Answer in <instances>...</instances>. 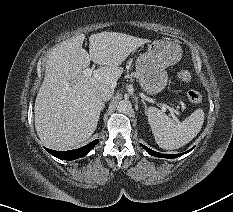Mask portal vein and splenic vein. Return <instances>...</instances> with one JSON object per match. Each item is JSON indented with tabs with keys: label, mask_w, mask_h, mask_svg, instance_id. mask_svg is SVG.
<instances>
[{
	"label": "portal vein and splenic vein",
	"mask_w": 233,
	"mask_h": 212,
	"mask_svg": "<svg viewBox=\"0 0 233 212\" xmlns=\"http://www.w3.org/2000/svg\"><path fill=\"white\" fill-rule=\"evenodd\" d=\"M93 73V69L91 68H86L84 71H83V74L84 76L86 77H89L91 76ZM161 109L162 111H166V110H169L171 112V114L173 115L174 114V109H172L170 106L166 105V104H161Z\"/></svg>",
	"instance_id": "1"
}]
</instances>
